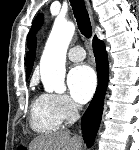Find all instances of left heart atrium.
<instances>
[{
    "label": "left heart atrium",
    "instance_id": "1",
    "mask_svg": "<svg viewBox=\"0 0 139 150\" xmlns=\"http://www.w3.org/2000/svg\"><path fill=\"white\" fill-rule=\"evenodd\" d=\"M67 84L72 98L78 103H86L96 89V74L88 65L75 66L68 74Z\"/></svg>",
    "mask_w": 139,
    "mask_h": 150
}]
</instances>
